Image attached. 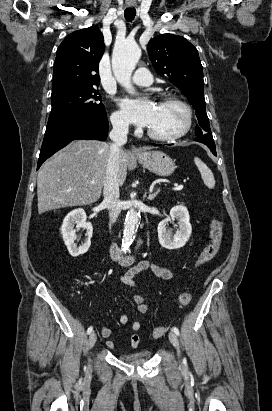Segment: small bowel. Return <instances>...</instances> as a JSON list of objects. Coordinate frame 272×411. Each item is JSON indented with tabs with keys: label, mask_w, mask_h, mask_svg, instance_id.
<instances>
[{
	"label": "small bowel",
	"mask_w": 272,
	"mask_h": 411,
	"mask_svg": "<svg viewBox=\"0 0 272 411\" xmlns=\"http://www.w3.org/2000/svg\"><path fill=\"white\" fill-rule=\"evenodd\" d=\"M151 271L157 277L164 280H171L173 274L168 267L165 265L158 264L151 260H142L132 266L126 274L120 277V281L127 287L137 290L138 285L135 280V276L143 271ZM133 301L137 306V311L141 314H145L149 310V305L146 301V298L138 293H134L132 296ZM129 322V317L127 314H121L119 317L120 324H127ZM141 328V323L139 321H134L131 325V330L134 332L130 338L129 347L130 349H136L140 343V336L138 334L139 329ZM100 333L104 338H110L112 335V330L106 326H101ZM106 345L110 349L115 348V344L112 340H107Z\"/></svg>",
	"instance_id": "small-bowel-1"
}]
</instances>
